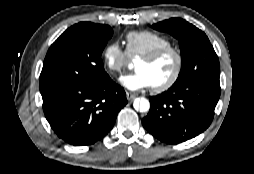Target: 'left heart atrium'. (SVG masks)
<instances>
[{
    "mask_svg": "<svg viewBox=\"0 0 254 174\" xmlns=\"http://www.w3.org/2000/svg\"><path fill=\"white\" fill-rule=\"evenodd\" d=\"M120 82L132 91L153 87L150 77L141 70H136L134 73L122 76Z\"/></svg>",
    "mask_w": 254,
    "mask_h": 174,
    "instance_id": "1",
    "label": "left heart atrium"
}]
</instances>
